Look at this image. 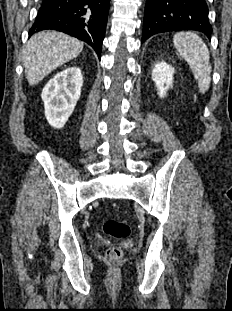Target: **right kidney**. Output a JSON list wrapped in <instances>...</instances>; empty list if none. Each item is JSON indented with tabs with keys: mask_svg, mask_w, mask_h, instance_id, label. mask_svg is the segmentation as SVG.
<instances>
[{
	"mask_svg": "<svg viewBox=\"0 0 232 311\" xmlns=\"http://www.w3.org/2000/svg\"><path fill=\"white\" fill-rule=\"evenodd\" d=\"M83 76L80 68L69 67L57 73L44 87L45 116L48 123L61 129L72 114L81 95Z\"/></svg>",
	"mask_w": 232,
	"mask_h": 311,
	"instance_id": "obj_1",
	"label": "right kidney"
}]
</instances>
